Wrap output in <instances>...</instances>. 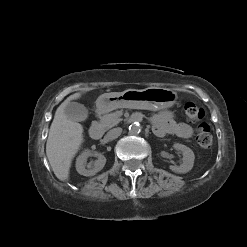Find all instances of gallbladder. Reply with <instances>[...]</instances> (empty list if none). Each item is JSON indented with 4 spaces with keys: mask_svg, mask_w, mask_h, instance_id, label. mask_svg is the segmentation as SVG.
I'll use <instances>...</instances> for the list:
<instances>
[{
    "mask_svg": "<svg viewBox=\"0 0 247 247\" xmlns=\"http://www.w3.org/2000/svg\"><path fill=\"white\" fill-rule=\"evenodd\" d=\"M64 113L68 119L77 122L84 121L88 117L87 108L77 102H69L65 106Z\"/></svg>",
    "mask_w": 247,
    "mask_h": 247,
    "instance_id": "1",
    "label": "gallbladder"
}]
</instances>
